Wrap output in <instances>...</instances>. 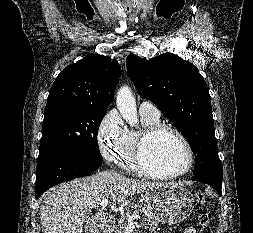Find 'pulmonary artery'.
I'll list each match as a JSON object with an SVG mask.
<instances>
[{
	"label": "pulmonary artery",
	"mask_w": 253,
	"mask_h": 233,
	"mask_svg": "<svg viewBox=\"0 0 253 233\" xmlns=\"http://www.w3.org/2000/svg\"><path fill=\"white\" fill-rule=\"evenodd\" d=\"M139 114L141 116L160 117L159 109L149 101H142L140 103Z\"/></svg>",
	"instance_id": "1"
}]
</instances>
